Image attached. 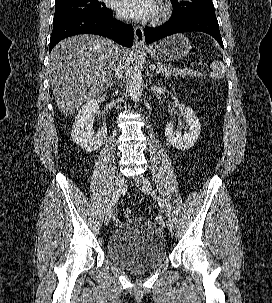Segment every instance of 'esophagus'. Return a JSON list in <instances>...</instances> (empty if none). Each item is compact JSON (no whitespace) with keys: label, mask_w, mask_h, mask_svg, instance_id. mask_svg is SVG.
Returning a JSON list of instances; mask_svg holds the SVG:
<instances>
[{"label":"esophagus","mask_w":272,"mask_h":303,"mask_svg":"<svg viewBox=\"0 0 272 303\" xmlns=\"http://www.w3.org/2000/svg\"><path fill=\"white\" fill-rule=\"evenodd\" d=\"M134 44L139 48L145 46L144 30L140 26L134 27Z\"/></svg>","instance_id":"obj_1"}]
</instances>
